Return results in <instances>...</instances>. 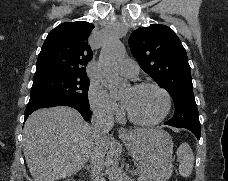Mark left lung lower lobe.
Listing matches in <instances>:
<instances>
[{
    "label": "left lung lower lobe",
    "instance_id": "0a47b994",
    "mask_svg": "<svg viewBox=\"0 0 228 181\" xmlns=\"http://www.w3.org/2000/svg\"><path fill=\"white\" fill-rule=\"evenodd\" d=\"M166 125H168V124H166ZM186 129L190 130L197 137V139H200L201 128L189 127V128H186Z\"/></svg>",
    "mask_w": 228,
    "mask_h": 181
}]
</instances>
